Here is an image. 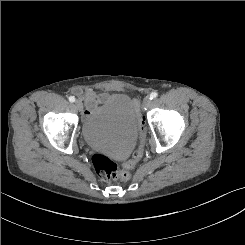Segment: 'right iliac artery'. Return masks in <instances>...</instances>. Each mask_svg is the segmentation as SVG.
I'll list each match as a JSON object with an SVG mask.
<instances>
[{
  "instance_id": "1",
  "label": "right iliac artery",
  "mask_w": 245,
  "mask_h": 245,
  "mask_svg": "<svg viewBox=\"0 0 245 245\" xmlns=\"http://www.w3.org/2000/svg\"><path fill=\"white\" fill-rule=\"evenodd\" d=\"M69 101H70V102H74V101H75V97H74V96H70V97H69Z\"/></svg>"
}]
</instances>
